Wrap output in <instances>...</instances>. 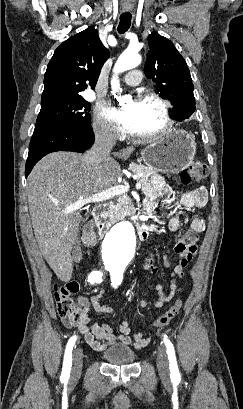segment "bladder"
Wrapping results in <instances>:
<instances>
[{"label": "bladder", "instance_id": "1", "mask_svg": "<svg viewBox=\"0 0 243 409\" xmlns=\"http://www.w3.org/2000/svg\"><path fill=\"white\" fill-rule=\"evenodd\" d=\"M103 358L108 364L128 365L135 361L136 353L126 345H113L103 351Z\"/></svg>", "mask_w": 243, "mask_h": 409}]
</instances>
